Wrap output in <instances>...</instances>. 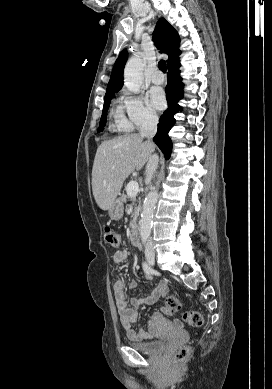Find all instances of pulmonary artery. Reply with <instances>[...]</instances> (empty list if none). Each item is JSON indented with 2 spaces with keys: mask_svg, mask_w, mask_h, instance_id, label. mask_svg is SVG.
Returning <instances> with one entry per match:
<instances>
[{
  "mask_svg": "<svg viewBox=\"0 0 272 389\" xmlns=\"http://www.w3.org/2000/svg\"><path fill=\"white\" fill-rule=\"evenodd\" d=\"M150 80L153 84L155 85H160L164 82V77L163 75L159 72V71H154L151 75H150Z\"/></svg>",
  "mask_w": 272,
  "mask_h": 389,
  "instance_id": "obj_1",
  "label": "pulmonary artery"
}]
</instances>
